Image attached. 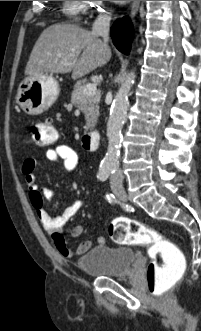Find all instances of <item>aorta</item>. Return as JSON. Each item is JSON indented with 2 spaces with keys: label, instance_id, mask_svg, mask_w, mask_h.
Returning <instances> with one entry per match:
<instances>
[{
  "label": "aorta",
  "instance_id": "aorta-1",
  "mask_svg": "<svg viewBox=\"0 0 201 331\" xmlns=\"http://www.w3.org/2000/svg\"><path fill=\"white\" fill-rule=\"evenodd\" d=\"M135 77L133 71L128 73L125 82L116 93L111 106L107 122L108 148L99 168V177L101 178H106L109 173L113 172L118 167V157L122 143V127L126 119L129 105L128 94L135 82Z\"/></svg>",
  "mask_w": 201,
  "mask_h": 331
}]
</instances>
